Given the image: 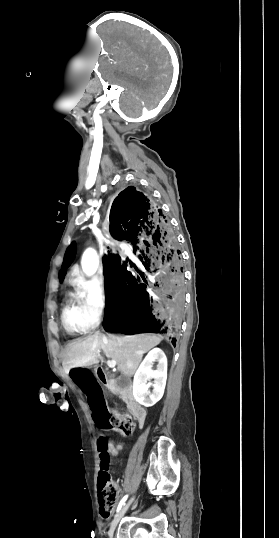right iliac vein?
Listing matches in <instances>:
<instances>
[{
  "label": "right iliac vein",
  "mask_w": 279,
  "mask_h": 538,
  "mask_svg": "<svg viewBox=\"0 0 279 538\" xmlns=\"http://www.w3.org/2000/svg\"><path fill=\"white\" fill-rule=\"evenodd\" d=\"M134 501V497L131 498L127 504H125L123 506V508L119 511V513L114 517L111 525H110V529H109V537L110 538H113V534H114V531L118 525V523L120 522V520L122 519V517L124 516V514L126 513V511L128 510V508L130 507L131 503Z\"/></svg>",
  "instance_id": "63e3f726"
}]
</instances>
